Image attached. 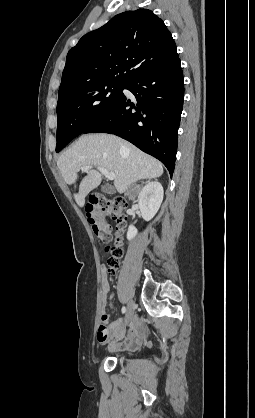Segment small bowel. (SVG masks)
Wrapping results in <instances>:
<instances>
[{
  "label": "small bowel",
  "instance_id": "c3829d8e",
  "mask_svg": "<svg viewBox=\"0 0 255 418\" xmlns=\"http://www.w3.org/2000/svg\"><path fill=\"white\" fill-rule=\"evenodd\" d=\"M102 292L104 297L108 293V284L103 275ZM112 298V296L110 297ZM109 315L106 311L105 301L103 302V309L101 315L102 324L97 332V340L109 345L111 351H121L125 349L135 348L140 345L144 336V329L138 320H133L130 328L127 330L121 319H117L108 323Z\"/></svg>",
  "mask_w": 255,
  "mask_h": 418
}]
</instances>
